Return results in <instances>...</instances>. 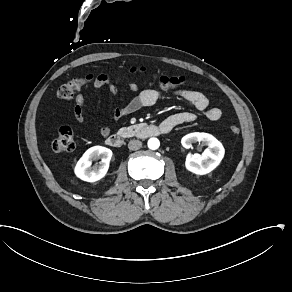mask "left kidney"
<instances>
[{
  "label": "left kidney",
  "instance_id": "left-kidney-1",
  "mask_svg": "<svg viewBox=\"0 0 292 292\" xmlns=\"http://www.w3.org/2000/svg\"><path fill=\"white\" fill-rule=\"evenodd\" d=\"M196 142H201L207 148L202 154H188L185 166L195 174H207L214 170L223 159L224 147L213 135L204 132L190 133L181 139V144L186 149L191 148Z\"/></svg>",
  "mask_w": 292,
  "mask_h": 292
}]
</instances>
